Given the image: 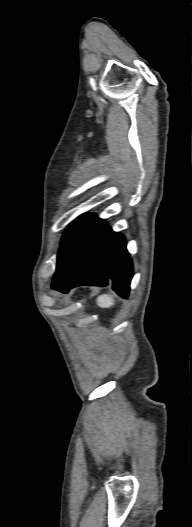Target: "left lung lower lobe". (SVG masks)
<instances>
[{
    "instance_id": "1",
    "label": "left lung lower lobe",
    "mask_w": 192,
    "mask_h": 527,
    "mask_svg": "<svg viewBox=\"0 0 192 527\" xmlns=\"http://www.w3.org/2000/svg\"><path fill=\"white\" fill-rule=\"evenodd\" d=\"M124 237L102 219L89 217L58 257L52 288L64 293L82 286H106L126 298L133 274Z\"/></svg>"
}]
</instances>
